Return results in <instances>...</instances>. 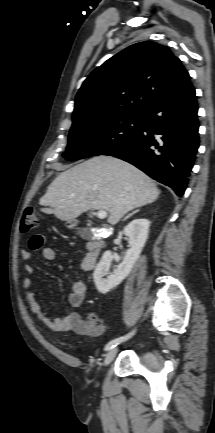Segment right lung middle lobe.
Instances as JSON below:
<instances>
[{
    "label": "right lung middle lobe",
    "mask_w": 215,
    "mask_h": 433,
    "mask_svg": "<svg viewBox=\"0 0 215 433\" xmlns=\"http://www.w3.org/2000/svg\"><path fill=\"white\" fill-rule=\"evenodd\" d=\"M143 116H120L94 123L73 124L69 133L67 151L63 157L69 161L104 155L126 145L137 137Z\"/></svg>",
    "instance_id": "right-lung-middle-lobe-1"
}]
</instances>
